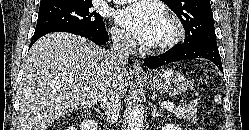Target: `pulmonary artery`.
<instances>
[{"label": "pulmonary artery", "instance_id": "obj_1", "mask_svg": "<svg viewBox=\"0 0 249 130\" xmlns=\"http://www.w3.org/2000/svg\"><path fill=\"white\" fill-rule=\"evenodd\" d=\"M116 3H127L131 2L132 0H114Z\"/></svg>", "mask_w": 249, "mask_h": 130}]
</instances>
